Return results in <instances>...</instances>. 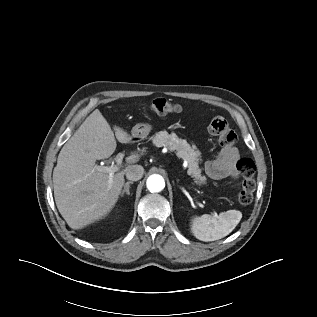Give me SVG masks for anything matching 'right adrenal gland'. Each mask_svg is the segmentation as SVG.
<instances>
[{"label":"right adrenal gland","instance_id":"obj_1","mask_svg":"<svg viewBox=\"0 0 317 317\" xmlns=\"http://www.w3.org/2000/svg\"><path fill=\"white\" fill-rule=\"evenodd\" d=\"M130 184H133L132 181H129V182H126L125 185H124V189L122 190L120 196L123 197L124 194L126 193L127 195H130V191H129V188H130Z\"/></svg>","mask_w":317,"mask_h":317}]
</instances>
